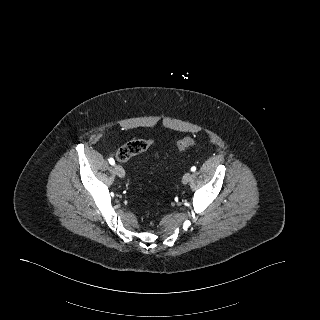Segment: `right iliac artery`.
<instances>
[{
    "label": "right iliac artery",
    "instance_id": "82829eb1",
    "mask_svg": "<svg viewBox=\"0 0 320 320\" xmlns=\"http://www.w3.org/2000/svg\"><path fill=\"white\" fill-rule=\"evenodd\" d=\"M109 163H110L111 165H114V164H115L114 159H113V158H110V159H109Z\"/></svg>",
    "mask_w": 320,
    "mask_h": 320
}]
</instances>
